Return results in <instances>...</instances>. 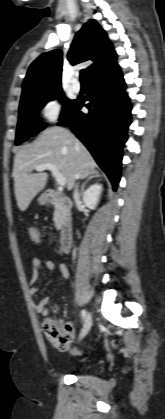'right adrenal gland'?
Segmentation results:
<instances>
[{
	"instance_id": "right-adrenal-gland-1",
	"label": "right adrenal gland",
	"mask_w": 165,
	"mask_h": 419,
	"mask_svg": "<svg viewBox=\"0 0 165 419\" xmlns=\"http://www.w3.org/2000/svg\"><path fill=\"white\" fill-rule=\"evenodd\" d=\"M99 176H100V175H99L98 171H94V172H92L91 176H89V177L87 178V180H86V181L82 184L80 194H81V195H83V194H84V188H85V185H86V183H87L90 179H92V178H94V177H99Z\"/></svg>"
}]
</instances>
